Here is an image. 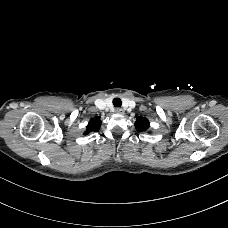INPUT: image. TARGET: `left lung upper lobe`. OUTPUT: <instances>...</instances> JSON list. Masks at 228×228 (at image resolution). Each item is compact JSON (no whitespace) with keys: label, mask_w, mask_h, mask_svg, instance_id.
I'll return each instance as SVG.
<instances>
[{"label":"left lung upper lobe","mask_w":228,"mask_h":228,"mask_svg":"<svg viewBox=\"0 0 228 228\" xmlns=\"http://www.w3.org/2000/svg\"><path fill=\"white\" fill-rule=\"evenodd\" d=\"M135 126L137 131L141 132L146 131L149 128L150 124L148 122V119L144 117H139L135 122Z\"/></svg>","instance_id":"left-lung-upper-lobe-1"}]
</instances>
